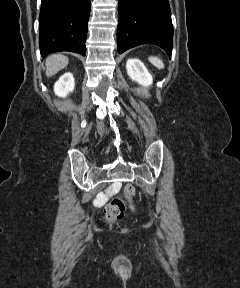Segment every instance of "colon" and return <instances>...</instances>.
<instances>
[{
    "instance_id": "colon-1",
    "label": "colon",
    "mask_w": 240,
    "mask_h": 288,
    "mask_svg": "<svg viewBox=\"0 0 240 288\" xmlns=\"http://www.w3.org/2000/svg\"><path fill=\"white\" fill-rule=\"evenodd\" d=\"M136 191L133 186L127 185L124 195L113 199L104 209V219L108 222H115L124 216L126 207L135 198Z\"/></svg>"
}]
</instances>
